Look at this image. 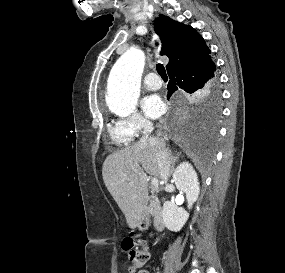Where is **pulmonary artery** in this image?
<instances>
[{"label":"pulmonary artery","mask_w":285,"mask_h":273,"mask_svg":"<svg viewBox=\"0 0 285 273\" xmlns=\"http://www.w3.org/2000/svg\"><path fill=\"white\" fill-rule=\"evenodd\" d=\"M144 85L149 90H158L162 86V81L156 73L150 72L144 77Z\"/></svg>","instance_id":"pulmonary-artery-1"}]
</instances>
